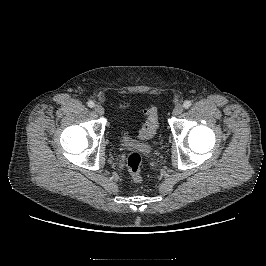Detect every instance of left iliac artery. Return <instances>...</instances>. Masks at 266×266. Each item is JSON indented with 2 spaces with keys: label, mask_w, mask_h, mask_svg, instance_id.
I'll return each instance as SVG.
<instances>
[{
  "label": "left iliac artery",
  "mask_w": 266,
  "mask_h": 266,
  "mask_svg": "<svg viewBox=\"0 0 266 266\" xmlns=\"http://www.w3.org/2000/svg\"><path fill=\"white\" fill-rule=\"evenodd\" d=\"M192 105V103H191V101H189V100H186L184 103H183V106H184V108H189L190 106Z\"/></svg>",
  "instance_id": "left-iliac-artery-1"
}]
</instances>
